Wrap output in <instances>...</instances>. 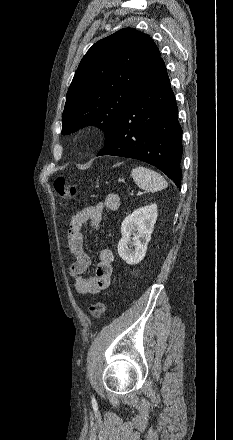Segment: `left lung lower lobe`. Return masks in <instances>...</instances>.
<instances>
[{
  "mask_svg": "<svg viewBox=\"0 0 233 440\" xmlns=\"http://www.w3.org/2000/svg\"><path fill=\"white\" fill-rule=\"evenodd\" d=\"M178 108L160 58L122 114L113 137L97 154L133 158L163 171L178 188L183 152Z\"/></svg>",
  "mask_w": 233,
  "mask_h": 440,
  "instance_id": "left-lung-lower-lobe-1",
  "label": "left lung lower lobe"
}]
</instances>
